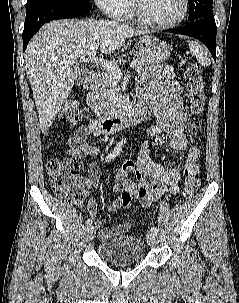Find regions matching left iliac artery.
Listing matches in <instances>:
<instances>
[{
    "label": "left iliac artery",
    "instance_id": "44dca946",
    "mask_svg": "<svg viewBox=\"0 0 239 303\" xmlns=\"http://www.w3.org/2000/svg\"><path fill=\"white\" fill-rule=\"evenodd\" d=\"M151 232H154L157 234V232H158L157 227H155V226L151 227Z\"/></svg>",
    "mask_w": 239,
    "mask_h": 303
}]
</instances>
